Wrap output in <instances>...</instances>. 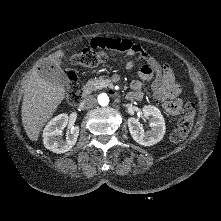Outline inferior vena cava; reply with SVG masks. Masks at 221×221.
I'll use <instances>...</instances> for the list:
<instances>
[{
	"mask_svg": "<svg viewBox=\"0 0 221 221\" xmlns=\"http://www.w3.org/2000/svg\"><path fill=\"white\" fill-rule=\"evenodd\" d=\"M96 103H97L96 98L92 95H89L83 99L82 106L86 109H89V108L94 107Z\"/></svg>",
	"mask_w": 221,
	"mask_h": 221,
	"instance_id": "obj_1",
	"label": "inferior vena cava"
}]
</instances>
